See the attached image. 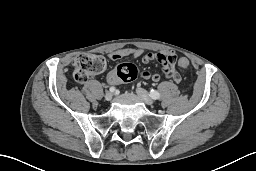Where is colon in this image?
<instances>
[{"instance_id":"colon-1","label":"colon","mask_w":256,"mask_h":171,"mask_svg":"<svg viewBox=\"0 0 256 171\" xmlns=\"http://www.w3.org/2000/svg\"><path fill=\"white\" fill-rule=\"evenodd\" d=\"M72 65L74 80L83 83L90 75L102 73L106 69V60L100 55L81 54L73 59ZM178 65L187 68L189 62L186 58H180ZM116 74L123 82H131L142 75V72L134 64L123 63L116 68Z\"/></svg>"}]
</instances>
